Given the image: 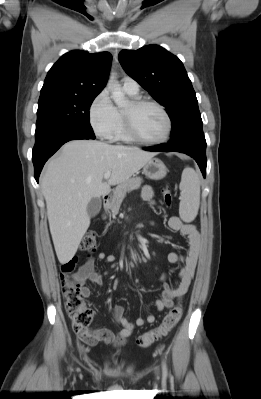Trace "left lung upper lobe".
<instances>
[{"label":"left lung upper lobe","mask_w":261,"mask_h":399,"mask_svg":"<svg viewBox=\"0 0 261 399\" xmlns=\"http://www.w3.org/2000/svg\"><path fill=\"white\" fill-rule=\"evenodd\" d=\"M119 61L126 73L167 109L172 144L204 137L195 91L177 56L158 45L122 50Z\"/></svg>","instance_id":"obj_1"}]
</instances>
